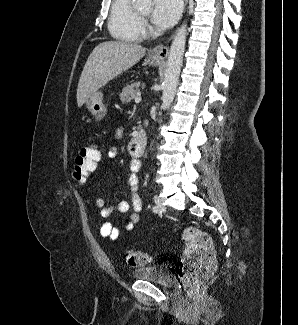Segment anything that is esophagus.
<instances>
[{
    "mask_svg": "<svg viewBox=\"0 0 298 325\" xmlns=\"http://www.w3.org/2000/svg\"><path fill=\"white\" fill-rule=\"evenodd\" d=\"M188 0H185V4H187ZM172 38V37H171ZM170 41V39H169ZM165 44L157 45L150 51V57L155 59H164L168 56L169 50H168V42Z\"/></svg>",
    "mask_w": 298,
    "mask_h": 325,
    "instance_id": "esophagus-1",
    "label": "esophagus"
}]
</instances>
